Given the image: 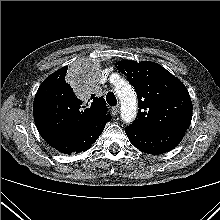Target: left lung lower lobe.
<instances>
[{"instance_id":"0a47b994","label":"left lung lower lobe","mask_w":220,"mask_h":220,"mask_svg":"<svg viewBox=\"0 0 220 220\" xmlns=\"http://www.w3.org/2000/svg\"><path fill=\"white\" fill-rule=\"evenodd\" d=\"M130 142L140 151L148 154L166 153L183 139L185 131H157L130 124L125 129Z\"/></svg>"}]
</instances>
